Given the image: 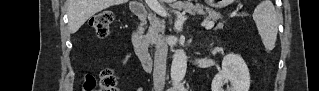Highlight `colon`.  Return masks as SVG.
I'll use <instances>...</instances> for the list:
<instances>
[{
    "mask_svg": "<svg viewBox=\"0 0 319 91\" xmlns=\"http://www.w3.org/2000/svg\"><path fill=\"white\" fill-rule=\"evenodd\" d=\"M113 14L111 12H100L90 19V26L98 36H105L109 32ZM117 87V78L110 70H103L98 78L91 75L86 76L83 90L84 91H115Z\"/></svg>",
    "mask_w": 319,
    "mask_h": 91,
    "instance_id": "1",
    "label": "colon"
}]
</instances>
